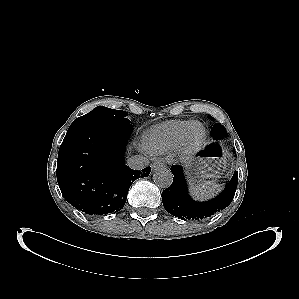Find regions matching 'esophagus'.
<instances>
[{
    "mask_svg": "<svg viewBox=\"0 0 299 299\" xmlns=\"http://www.w3.org/2000/svg\"><path fill=\"white\" fill-rule=\"evenodd\" d=\"M164 167H166L164 161H156L151 165V168L153 170H157L159 168H164Z\"/></svg>",
    "mask_w": 299,
    "mask_h": 299,
    "instance_id": "obj_1",
    "label": "esophagus"
}]
</instances>
